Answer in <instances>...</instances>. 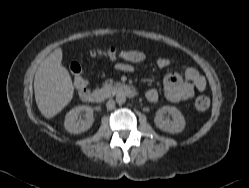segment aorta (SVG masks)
Segmentation results:
<instances>
[{"label": "aorta", "mask_w": 249, "mask_h": 188, "mask_svg": "<svg viewBox=\"0 0 249 188\" xmlns=\"http://www.w3.org/2000/svg\"><path fill=\"white\" fill-rule=\"evenodd\" d=\"M116 102L119 104V105H122L126 102V96L122 93H119L116 95Z\"/></svg>", "instance_id": "762f6f07"}]
</instances>
